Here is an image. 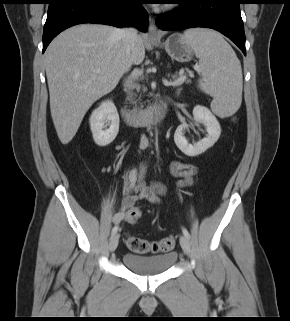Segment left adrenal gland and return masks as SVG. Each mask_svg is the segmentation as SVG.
I'll return each instance as SVG.
<instances>
[{
	"instance_id": "left-adrenal-gland-1",
	"label": "left adrenal gland",
	"mask_w": 290,
	"mask_h": 321,
	"mask_svg": "<svg viewBox=\"0 0 290 321\" xmlns=\"http://www.w3.org/2000/svg\"><path fill=\"white\" fill-rule=\"evenodd\" d=\"M181 90H182L181 88H178L177 91H176V94L179 95Z\"/></svg>"
}]
</instances>
